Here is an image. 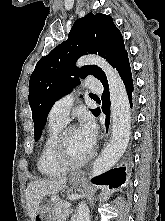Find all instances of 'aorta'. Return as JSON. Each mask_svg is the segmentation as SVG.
<instances>
[{"instance_id": "762f6f07", "label": "aorta", "mask_w": 165, "mask_h": 221, "mask_svg": "<svg viewBox=\"0 0 165 221\" xmlns=\"http://www.w3.org/2000/svg\"><path fill=\"white\" fill-rule=\"evenodd\" d=\"M78 65L95 64L105 72L111 100L112 136L101 155L93 163L91 177L98 176L111 169L123 156L131 132L130 104L125 85L116 71L103 58L86 56ZM75 221H90L89 208L84 201L78 204Z\"/></svg>"}]
</instances>
